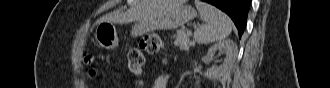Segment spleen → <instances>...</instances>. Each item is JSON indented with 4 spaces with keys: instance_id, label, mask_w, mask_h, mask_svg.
<instances>
[{
    "instance_id": "3e777b00",
    "label": "spleen",
    "mask_w": 330,
    "mask_h": 88,
    "mask_svg": "<svg viewBox=\"0 0 330 88\" xmlns=\"http://www.w3.org/2000/svg\"><path fill=\"white\" fill-rule=\"evenodd\" d=\"M195 6L206 22L194 32V40L199 44H209L228 37L232 31L231 19L218 8L196 0Z\"/></svg>"
}]
</instances>
